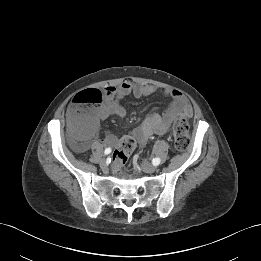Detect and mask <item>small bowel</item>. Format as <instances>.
I'll return each mask as SVG.
<instances>
[{"instance_id":"c3829d8e","label":"small bowel","mask_w":261,"mask_h":261,"mask_svg":"<svg viewBox=\"0 0 261 261\" xmlns=\"http://www.w3.org/2000/svg\"><path fill=\"white\" fill-rule=\"evenodd\" d=\"M171 98V103L165 109L162 115L153 110L143 122L133 129L130 135L124 137L133 138L140 146L147 143L153 135L167 134L175 119L178 117H190L192 108L185 96L176 89L162 88L159 89L153 85L134 83L125 81L117 86H109L104 91V100L99 107L95 109L94 120L92 126L86 131L83 138L90 139L96 132L99 123L106 120L110 116L124 117L125 108L120 101L129 95L137 98L147 97L155 93ZM120 141V137L108 134L100 138V142L106 146H116ZM74 149L82 151L88 148L87 141L82 144H73Z\"/></svg>"}]
</instances>
